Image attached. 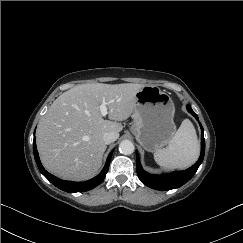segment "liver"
Listing matches in <instances>:
<instances>
[{
  "instance_id": "obj_1",
  "label": "liver",
  "mask_w": 243,
  "mask_h": 243,
  "mask_svg": "<svg viewBox=\"0 0 243 243\" xmlns=\"http://www.w3.org/2000/svg\"><path fill=\"white\" fill-rule=\"evenodd\" d=\"M141 84H82L62 93L42 117L36 142L42 164L50 173L74 181L93 177L102 165L103 135L123 129L117 121L133 113ZM107 103L103 119L99 106Z\"/></svg>"
}]
</instances>
